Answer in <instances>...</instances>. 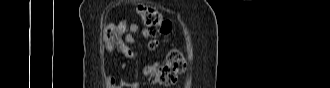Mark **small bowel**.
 <instances>
[{
	"label": "small bowel",
	"mask_w": 330,
	"mask_h": 88,
	"mask_svg": "<svg viewBox=\"0 0 330 88\" xmlns=\"http://www.w3.org/2000/svg\"><path fill=\"white\" fill-rule=\"evenodd\" d=\"M136 35H140L143 38H147L149 36L145 28L138 24L131 23L127 26L122 43L118 45V50L121 55L130 60L136 58L135 52L130 48V45L136 43ZM107 85L109 88H138V84L136 82L117 80L114 76L107 77Z\"/></svg>",
	"instance_id": "small-bowel-1"
}]
</instances>
